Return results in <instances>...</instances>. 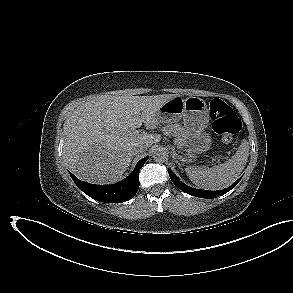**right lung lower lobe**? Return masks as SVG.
<instances>
[{
	"instance_id": "obj_1",
	"label": "right lung lower lobe",
	"mask_w": 293,
	"mask_h": 293,
	"mask_svg": "<svg viewBox=\"0 0 293 293\" xmlns=\"http://www.w3.org/2000/svg\"><path fill=\"white\" fill-rule=\"evenodd\" d=\"M147 159H141L126 179L113 185H93L79 180L72 173L70 175L76 185L91 198L106 203H121L131 199L138 191L139 172Z\"/></svg>"
}]
</instances>
